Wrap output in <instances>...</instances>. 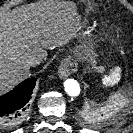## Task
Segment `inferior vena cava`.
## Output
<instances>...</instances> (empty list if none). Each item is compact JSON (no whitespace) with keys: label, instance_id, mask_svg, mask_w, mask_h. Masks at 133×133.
I'll use <instances>...</instances> for the list:
<instances>
[{"label":"inferior vena cava","instance_id":"inferior-vena-cava-1","mask_svg":"<svg viewBox=\"0 0 133 133\" xmlns=\"http://www.w3.org/2000/svg\"><path fill=\"white\" fill-rule=\"evenodd\" d=\"M46 54H44L42 51H40L37 54H34L33 56L29 57L27 59V64L29 66H36L39 65L45 58Z\"/></svg>","mask_w":133,"mask_h":133}]
</instances>
